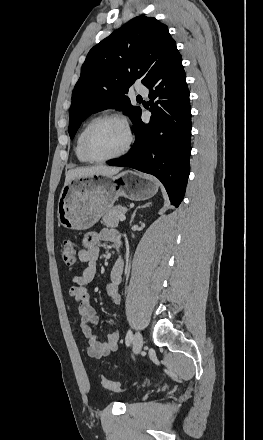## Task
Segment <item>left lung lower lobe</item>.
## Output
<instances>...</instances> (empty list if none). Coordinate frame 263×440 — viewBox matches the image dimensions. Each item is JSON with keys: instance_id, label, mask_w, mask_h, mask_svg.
I'll return each mask as SVG.
<instances>
[{"instance_id": "1", "label": "left lung lower lobe", "mask_w": 263, "mask_h": 440, "mask_svg": "<svg viewBox=\"0 0 263 440\" xmlns=\"http://www.w3.org/2000/svg\"><path fill=\"white\" fill-rule=\"evenodd\" d=\"M146 87L152 103L150 122L144 123L140 112L133 120L136 141L130 152L107 164L156 176L178 207L186 189L191 153L189 90L179 51Z\"/></svg>"}]
</instances>
